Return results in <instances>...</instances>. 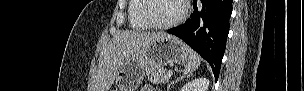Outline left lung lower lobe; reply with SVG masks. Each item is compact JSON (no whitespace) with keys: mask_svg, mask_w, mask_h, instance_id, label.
<instances>
[{"mask_svg":"<svg viewBox=\"0 0 304 91\" xmlns=\"http://www.w3.org/2000/svg\"><path fill=\"white\" fill-rule=\"evenodd\" d=\"M191 17L167 32L176 35L211 65L218 79L229 33L232 0H194Z\"/></svg>","mask_w":304,"mask_h":91,"instance_id":"0a47b994","label":"left lung lower lobe"}]
</instances>
